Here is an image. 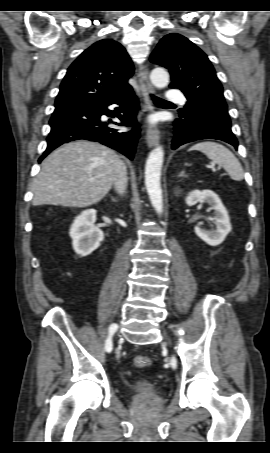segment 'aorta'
<instances>
[{"instance_id": "aorta-1", "label": "aorta", "mask_w": 270, "mask_h": 453, "mask_svg": "<svg viewBox=\"0 0 270 453\" xmlns=\"http://www.w3.org/2000/svg\"><path fill=\"white\" fill-rule=\"evenodd\" d=\"M152 84L158 88H164L169 83V74L164 68H155L150 74ZM164 150L161 146L154 148L145 165V186L152 206L158 214L163 212V196L161 189V169L163 165Z\"/></svg>"}]
</instances>
